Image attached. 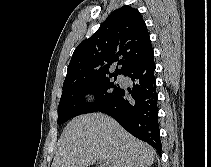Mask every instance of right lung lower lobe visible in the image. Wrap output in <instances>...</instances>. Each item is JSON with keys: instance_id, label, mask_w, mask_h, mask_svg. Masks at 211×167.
I'll list each match as a JSON object with an SVG mask.
<instances>
[{"instance_id": "obj_1", "label": "right lung lower lobe", "mask_w": 211, "mask_h": 167, "mask_svg": "<svg viewBox=\"0 0 211 167\" xmlns=\"http://www.w3.org/2000/svg\"><path fill=\"white\" fill-rule=\"evenodd\" d=\"M154 71L153 56L130 67L123 75L133 81L132 89H122L99 111L113 117L129 133L150 144L161 155ZM129 95L133 99L130 100Z\"/></svg>"}]
</instances>
